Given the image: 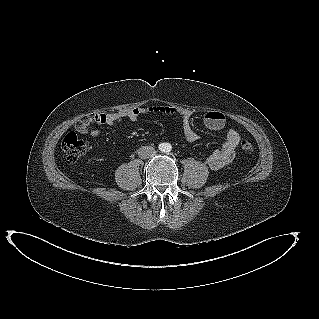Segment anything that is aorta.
I'll return each mask as SVG.
<instances>
[{
	"instance_id": "1",
	"label": "aorta",
	"mask_w": 319,
	"mask_h": 319,
	"mask_svg": "<svg viewBox=\"0 0 319 319\" xmlns=\"http://www.w3.org/2000/svg\"><path fill=\"white\" fill-rule=\"evenodd\" d=\"M168 143H165L164 145H167ZM169 145V144H168ZM163 151H166V149L163 148Z\"/></svg>"
}]
</instances>
